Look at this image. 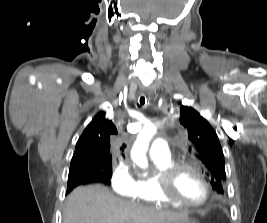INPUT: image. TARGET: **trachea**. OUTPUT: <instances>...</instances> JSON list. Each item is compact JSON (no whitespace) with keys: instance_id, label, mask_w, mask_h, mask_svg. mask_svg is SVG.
<instances>
[{"instance_id":"1","label":"trachea","mask_w":267,"mask_h":223,"mask_svg":"<svg viewBox=\"0 0 267 223\" xmlns=\"http://www.w3.org/2000/svg\"><path fill=\"white\" fill-rule=\"evenodd\" d=\"M140 105L143 106L145 104V97L141 96L139 99Z\"/></svg>"}]
</instances>
